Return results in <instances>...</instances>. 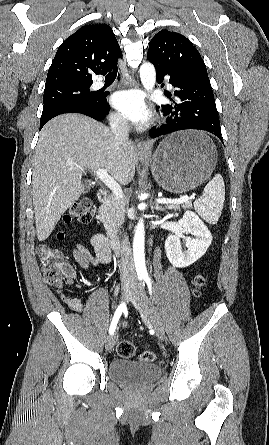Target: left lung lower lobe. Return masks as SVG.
Segmentation results:
<instances>
[{"label":"left lung lower lobe","instance_id":"1","mask_svg":"<svg viewBox=\"0 0 269 445\" xmlns=\"http://www.w3.org/2000/svg\"><path fill=\"white\" fill-rule=\"evenodd\" d=\"M155 68L158 83H161L165 76L170 77L169 83L177 88L174 95L179 102L161 105L163 114L167 116L166 122L155 129L150 137L156 138L179 130L198 129L208 131L222 141L220 121L207 73L169 71L158 66ZM167 96L170 98L171 94Z\"/></svg>","mask_w":269,"mask_h":445}]
</instances>
